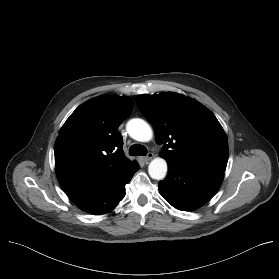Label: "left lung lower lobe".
Returning a JSON list of instances; mask_svg holds the SVG:
<instances>
[{
	"instance_id": "0a47b994",
	"label": "left lung lower lobe",
	"mask_w": 279,
	"mask_h": 279,
	"mask_svg": "<svg viewBox=\"0 0 279 279\" xmlns=\"http://www.w3.org/2000/svg\"><path fill=\"white\" fill-rule=\"evenodd\" d=\"M168 174L159 182L162 197L181 211L197 209L218 191L224 172L183 166L167 161Z\"/></svg>"
}]
</instances>
